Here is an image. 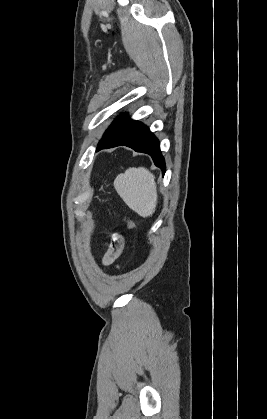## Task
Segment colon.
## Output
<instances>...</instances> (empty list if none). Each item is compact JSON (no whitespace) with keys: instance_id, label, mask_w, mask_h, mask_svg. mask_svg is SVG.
Returning a JSON list of instances; mask_svg holds the SVG:
<instances>
[{"instance_id":"5ec220e1","label":"colon","mask_w":267,"mask_h":419,"mask_svg":"<svg viewBox=\"0 0 267 419\" xmlns=\"http://www.w3.org/2000/svg\"><path fill=\"white\" fill-rule=\"evenodd\" d=\"M126 223H127L128 228H130L132 230H135L136 229V224L131 219L126 218Z\"/></svg>"}]
</instances>
